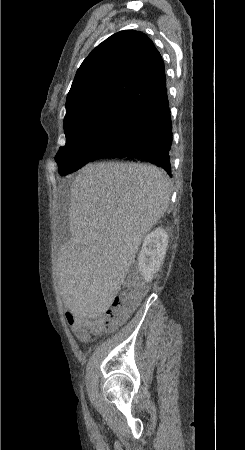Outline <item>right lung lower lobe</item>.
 <instances>
[{
    "label": "right lung lower lobe",
    "instance_id": "obj_1",
    "mask_svg": "<svg viewBox=\"0 0 245 450\" xmlns=\"http://www.w3.org/2000/svg\"><path fill=\"white\" fill-rule=\"evenodd\" d=\"M171 117L167 90L139 109L131 118L125 136L106 152L92 159L131 158L150 162L171 175Z\"/></svg>",
    "mask_w": 245,
    "mask_h": 450
}]
</instances>
